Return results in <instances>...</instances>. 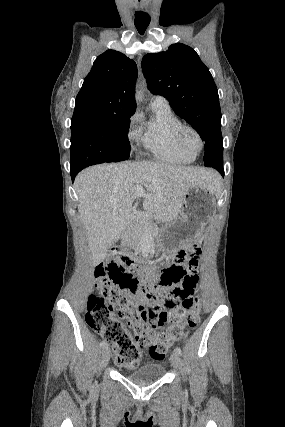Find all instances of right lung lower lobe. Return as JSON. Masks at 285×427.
<instances>
[{
    "instance_id": "1",
    "label": "right lung lower lobe",
    "mask_w": 285,
    "mask_h": 427,
    "mask_svg": "<svg viewBox=\"0 0 285 427\" xmlns=\"http://www.w3.org/2000/svg\"><path fill=\"white\" fill-rule=\"evenodd\" d=\"M78 172L79 171H77V170H70L72 181H74V178H75V176L77 175Z\"/></svg>"
}]
</instances>
